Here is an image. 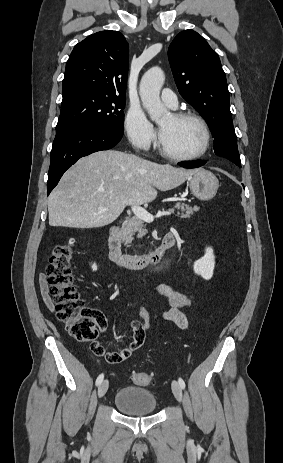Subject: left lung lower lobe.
I'll return each mask as SVG.
<instances>
[{"label":"left lung lower lobe","instance_id":"left-lung-lower-lobe-1","mask_svg":"<svg viewBox=\"0 0 283 463\" xmlns=\"http://www.w3.org/2000/svg\"><path fill=\"white\" fill-rule=\"evenodd\" d=\"M205 163L206 161L204 160H199L196 162H181L180 166L185 167V168H197V167L204 165Z\"/></svg>","mask_w":283,"mask_h":463}]
</instances>
